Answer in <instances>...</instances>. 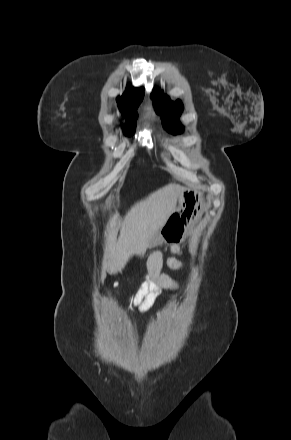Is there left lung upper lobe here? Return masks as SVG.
<instances>
[{
    "instance_id": "obj_1",
    "label": "left lung upper lobe",
    "mask_w": 291,
    "mask_h": 440,
    "mask_svg": "<svg viewBox=\"0 0 291 440\" xmlns=\"http://www.w3.org/2000/svg\"><path fill=\"white\" fill-rule=\"evenodd\" d=\"M151 98L157 114L161 115L164 128L173 134L181 133L183 126L178 118L183 110L182 102L180 100L171 101L160 89H154Z\"/></svg>"
}]
</instances>
